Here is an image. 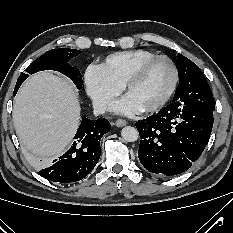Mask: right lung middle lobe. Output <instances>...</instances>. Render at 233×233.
Listing matches in <instances>:
<instances>
[{"label":"right lung middle lobe","instance_id":"right-lung-middle-lobe-1","mask_svg":"<svg viewBox=\"0 0 233 233\" xmlns=\"http://www.w3.org/2000/svg\"><path fill=\"white\" fill-rule=\"evenodd\" d=\"M80 53L81 51L79 50L68 48L49 50L38 59H36L33 63H31L26 68V73H22L18 80L24 81L29 76L28 74H33L42 70H55L68 76L74 82L76 87L81 89V73L77 68L69 65V60L79 55Z\"/></svg>","mask_w":233,"mask_h":233}]
</instances>
